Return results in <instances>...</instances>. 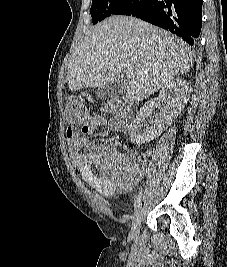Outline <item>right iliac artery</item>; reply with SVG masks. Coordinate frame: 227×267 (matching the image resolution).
I'll use <instances>...</instances> for the list:
<instances>
[{
    "label": "right iliac artery",
    "mask_w": 227,
    "mask_h": 267,
    "mask_svg": "<svg viewBox=\"0 0 227 267\" xmlns=\"http://www.w3.org/2000/svg\"><path fill=\"white\" fill-rule=\"evenodd\" d=\"M142 195H143V193H142V190H141V192L138 194V196H137V198H136V200L134 202L135 209L139 206V204L141 202Z\"/></svg>",
    "instance_id": "82829eb1"
}]
</instances>
